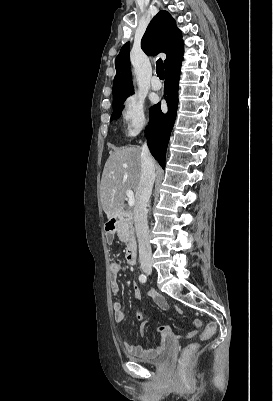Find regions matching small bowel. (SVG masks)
<instances>
[{"mask_svg": "<svg viewBox=\"0 0 273 401\" xmlns=\"http://www.w3.org/2000/svg\"><path fill=\"white\" fill-rule=\"evenodd\" d=\"M123 268H124V266L121 261H113L110 264V285H111V290H112V293L114 296H118L119 292H120L118 276H119L120 272L123 270ZM133 293L136 298L140 297L141 290L137 285L133 286ZM150 296H151L153 303L157 307H159L162 310L169 309V304L162 295H160L158 293H151ZM112 308H113L114 321L116 323H124L127 319V313H126L122 303L120 301L116 300L113 302ZM175 311L179 312L180 308L176 307ZM180 316L182 318H185L187 316V313L185 311H182L180 313ZM136 317L138 320L143 319L142 313L140 311H137ZM158 332L161 334L162 342H161L160 346H158V348L156 349L157 353L168 350L171 347V340L174 336L173 332H172V328L168 325L160 326L158 328ZM197 332H198V329L194 328L193 331L190 332V337L196 338ZM122 348L126 353H130V354H140V355H144V356L154 355V353H152V352L144 351L143 349L133 346L127 342H124L122 344Z\"/></svg>", "mask_w": 273, "mask_h": 401, "instance_id": "small-bowel-1", "label": "small bowel"}]
</instances>
